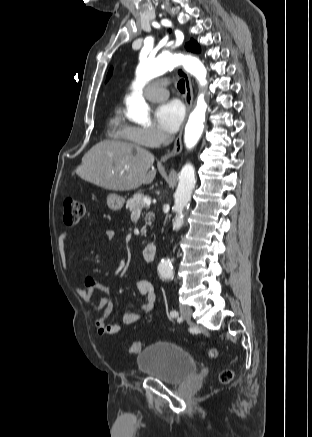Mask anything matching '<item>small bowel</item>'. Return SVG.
<instances>
[{"instance_id": "obj_1", "label": "small bowel", "mask_w": 312, "mask_h": 437, "mask_svg": "<svg viewBox=\"0 0 312 437\" xmlns=\"http://www.w3.org/2000/svg\"><path fill=\"white\" fill-rule=\"evenodd\" d=\"M114 236L113 231L107 230L106 237L111 240ZM138 292L145 298L139 305V309L143 313H150L156 304L157 296L152 283L147 279H139L136 283ZM95 290H100L108 294L109 290L104 285L100 284L94 277L87 275L84 277L81 287L78 288V294L83 301L93 306L97 317L95 319V328L99 336L115 335L121 331V327L116 323H106V319L111 314L113 302L109 295L102 297L98 303L93 302ZM141 320V314L128 309L123 315V322L131 325L138 323Z\"/></svg>"}]
</instances>
